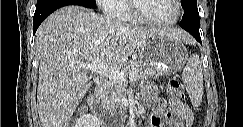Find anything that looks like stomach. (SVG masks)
Returning <instances> with one entry per match:
<instances>
[{
  "mask_svg": "<svg viewBox=\"0 0 243 127\" xmlns=\"http://www.w3.org/2000/svg\"><path fill=\"white\" fill-rule=\"evenodd\" d=\"M142 66L157 78L180 71L188 60V51L176 38L168 34H153L139 48Z\"/></svg>",
  "mask_w": 243,
  "mask_h": 127,
  "instance_id": "obj_1",
  "label": "stomach"
}]
</instances>
